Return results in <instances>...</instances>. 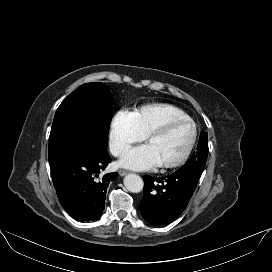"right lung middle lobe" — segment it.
Wrapping results in <instances>:
<instances>
[{
	"label": "right lung middle lobe",
	"mask_w": 272,
	"mask_h": 272,
	"mask_svg": "<svg viewBox=\"0 0 272 272\" xmlns=\"http://www.w3.org/2000/svg\"><path fill=\"white\" fill-rule=\"evenodd\" d=\"M114 100L103 83H86L58 107L49 137V164L81 143L107 147Z\"/></svg>",
	"instance_id": "1"
}]
</instances>
